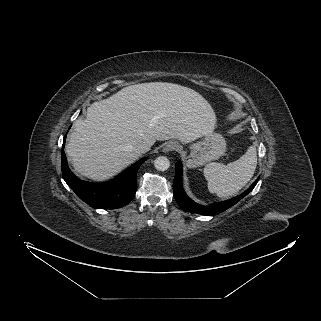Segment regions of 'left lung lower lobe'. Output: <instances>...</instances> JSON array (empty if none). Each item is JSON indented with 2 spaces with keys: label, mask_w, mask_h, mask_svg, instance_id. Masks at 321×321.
<instances>
[{
  "label": "left lung lower lobe",
  "mask_w": 321,
  "mask_h": 321,
  "mask_svg": "<svg viewBox=\"0 0 321 321\" xmlns=\"http://www.w3.org/2000/svg\"><path fill=\"white\" fill-rule=\"evenodd\" d=\"M259 178L242 194L234 197L230 200L214 204L212 206H202L192 201L185 193L182 187V164L178 162L176 164V173L173 182V195L178 205L186 212L197 213L201 215H216L239 202L244 196L249 194L256 186Z\"/></svg>",
  "instance_id": "left-lung-lower-lobe-1"
}]
</instances>
